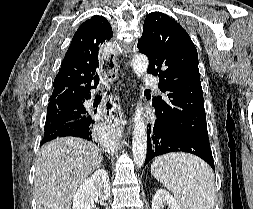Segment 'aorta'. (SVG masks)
Here are the masks:
<instances>
[{
  "label": "aorta",
  "instance_id": "762f6f07",
  "mask_svg": "<svg viewBox=\"0 0 253 209\" xmlns=\"http://www.w3.org/2000/svg\"><path fill=\"white\" fill-rule=\"evenodd\" d=\"M132 67L138 76L143 75L148 68V59L145 55H135L132 60ZM132 151L135 165L143 166L147 152L146 124L142 112V104H138L133 125Z\"/></svg>",
  "mask_w": 253,
  "mask_h": 209
}]
</instances>
